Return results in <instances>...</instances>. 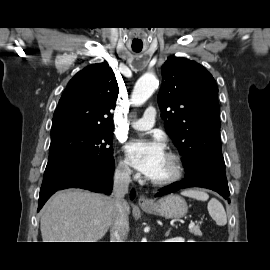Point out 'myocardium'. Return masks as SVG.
<instances>
[{
	"label": "myocardium",
	"mask_w": 270,
	"mask_h": 270,
	"mask_svg": "<svg viewBox=\"0 0 270 270\" xmlns=\"http://www.w3.org/2000/svg\"><path fill=\"white\" fill-rule=\"evenodd\" d=\"M166 156L169 157L172 161V173L168 177L161 180L150 179L151 184L156 187H165L172 185L179 181L183 176L184 167L181 156L175 152H168Z\"/></svg>",
	"instance_id": "obj_1"
}]
</instances>
